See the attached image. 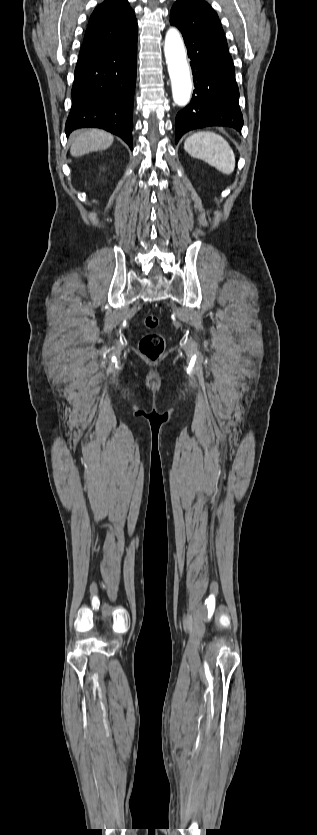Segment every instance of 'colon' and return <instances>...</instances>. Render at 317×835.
I'll list each match as a JSON object with an SVG mask.
<instances>
[{"mask_svg":"<svg viewBox=\"0 0 317 835\" xmlns=\"http://www.w3.org/2000/svg\"><path fill=\"white\" fill-rule=\"evenodd\" d=\"M158 318L155 315H147L143 319V324L146 328H155L158 325ZM165 350V338L159 333H150L144 335L139 343L140 353L150 359H158Z\"/></svg>","mask_w":317,"mask_h":835,"instance_id":"5ec220e1","label":"colon"}]
</instances>
